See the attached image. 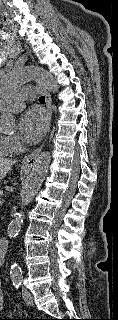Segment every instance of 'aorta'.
<instances>
[{
  "instance_id": "aorta-1",
  "label": "aorta",
  "mask_w": 118,
  "mask_h": 320,
  "mask_svg": "<svg viewBox=\"0 0 118 320\" xmlns=\"http://www.w3.org/2000/svg\"><path fill=\"white\" fill-rule=\"evenodd\" d=\"M38 81L44 85L49 91L57 92L59 86L55 77L42 67H24L21 69H14L7 73L0 83V98H5L11 94L20 85L29 81ZM17 126L16 117L6 110L0 111V130H14ZM51 162V155L49 152H42L36 158L32 171L27 179L21 195V208H25L34 198L38 192L43 180L47 174ZM25 215L23 210L18 212L14 219L9 223L7 228V235L10 239H14L20 232ZM10 277L12 280H21L22 270L17 263H13L10 268Z\"/></svg>"
}]
</instances>
